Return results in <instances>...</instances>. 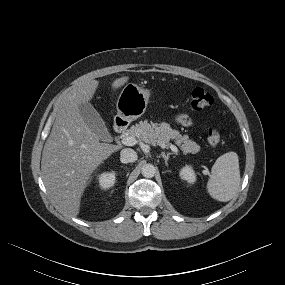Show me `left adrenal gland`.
<instances>
[{"instance_id":"1","label":"left adrenal gland","mask_w":285,"mask_h":285,"mask_svg":"<svg viewBox=\"0 0 285 285\" xmlns=\"http://www.w3.org/2000/svg\"><path fill=\"white\" fill-rule=\"evenodd\" d=\"M174 154H175L174 152H168L167 154H165L164 152L161 153L162 157L165 160L166 165L168 164L167 162L169 160L170 155H174Z\"/></svg>"}]
</instances>
